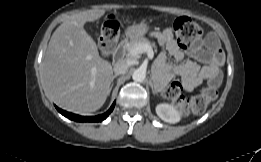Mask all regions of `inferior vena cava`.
I'll return each instance as SVG.
<instances>
[{
  "label": "inferior vena cava",
  "mask_w": 261,
  "mask_h": 162,
  "mask_svg": "<svg viewBox=\"0 0 261 162\" xmlns=\"http://www.w3.org/2000/svg\"><path fill=\"white\" fill-rule=\"evenodd\" d=\"M130 64L125 59H120L114 64V72L115 74H125L128 70Z\"/></svg>",
  "instance_id": "602c4592"
}]
</instances>
